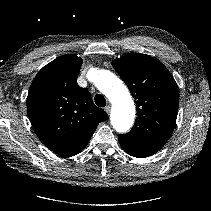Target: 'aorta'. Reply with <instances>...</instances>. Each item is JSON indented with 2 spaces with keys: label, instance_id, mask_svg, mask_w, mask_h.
Segmentation results:
<instances>
[{
  "label": "aorta",
  "instance_id": "762f6f07",
  "mask_svg": "<svg viewBox=\"0 0 211 211\" xmlns=\"http://www.w3.org/2000/svg\"><path fill=\"white\" fill-rule=\"evenodd\" d=\"M95 86L113 103L111 124L120 133L127 132L133 125L135 105L124 83L108 70L92 69Z\"/></svg>",
  "mask_w": 211,
  "mask_h": 211
}]
</instances>
